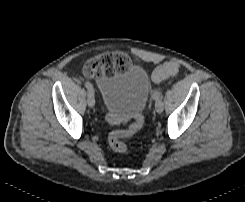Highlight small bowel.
<instances>
[{"label":"small bowel","mask_w":245,"mask_h":202,"mask_svg":"<svg viewBox=\"0 0 245 202\" xmlns=\"http://www.w3.org/2000/svg\"><path fill=\"white\" fill-rule=\"evenodd\" d=\"M152 81L154 83H159L160 82V80L156 78V76L154 75V73L152 74Z\"/></svg>","instance_id":"1"}]
</instances>
